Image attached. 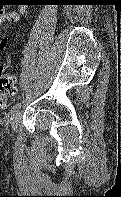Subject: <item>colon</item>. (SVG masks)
I'll return each mask as SVG.
<instances>
[{"mask_svg":"<svg viewBox=\"0 0 121 197\" xmlns=\"http://www.w3.org/2000/svg\"><path fill=\"white\" fill-rule=\"evenodd\" d=\"M15 92L16 87L13 76L0 64V108L9 105Z\"/></svg>","mask_w":121,"mask_h":197,"instance_id":"1","label":"colon"}]
</instances>
